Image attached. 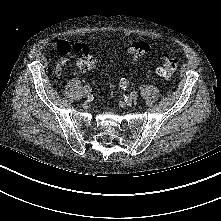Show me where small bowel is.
Here are the masks:
<instances>
[{"instance_id":"small-bowel-1","label":"small bowel","mask_w":221,"mask_h":221,"mask_svg":"<svg viewBox=\"0 0 221 221\" xmlns=\"http://www.w3.org/2000/svg\"><path fill=\"white\" fill-rule=\"evenodd\" d=\"M56 49L61 54L60 59L58 60L56 70L59 73L63 67L68 64V54L71 50H74L82 55L89 53L88 47L82 42H75L70 44L67 41L60 40L56 43ZM76 67L81 68V58L76 62Z\"/></svg>"}]
</instances>
